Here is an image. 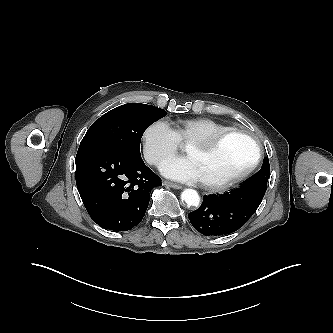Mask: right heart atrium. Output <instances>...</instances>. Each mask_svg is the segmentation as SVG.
<instances>
[{
    "mask_svg": "<svg viewBox=\"0 0 333 333\" xmlns=\"http://www.w3.org/2000/svg\"><path fill=\"white\" fill-rule=\"evenodd\" d=\"M142 139L145 158L156 166L173 156L180 147L176 133L163 120L149 124L143 132Z\"/></svg>",
    "mask_w": 333,
    "mask_h": 333,
    "instance_id": "right-heart-atrium-1",
    "label": "right heart atrium"
}]
</instances>
